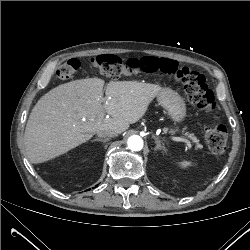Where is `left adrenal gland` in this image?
Returning a JSON list of instances; mask_svg holds the SVG:
<instances>
[{"label":"left adrenal gland","instance_id":"obj_1","mask_svg":"<svg viewBox=\"0 0 250 250\" xmlns=\"http://www.w3.org/2000/svg\"><path fill=\"white\" fill-rule=\"evenodd\" d=\"M152 137L155 140V144H156V147H155L154 150H164V151H166L165 147L163 145H161V142L158 140V138H156L154 135Z\"/></svg>","mask_w":250,"mask_h":250}]
</instances>
